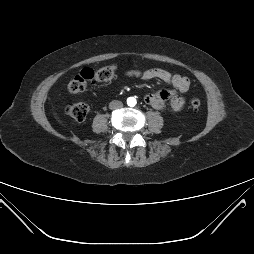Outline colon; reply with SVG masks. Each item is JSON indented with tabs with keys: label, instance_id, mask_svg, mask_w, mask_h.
Instances as JSON below:
<instances>
[{
	"label": "colon",
	"instance_id": "1",
	"mask_svg": "<svg viewBox=\"0 0 254 254\" xmlns=\"http://www.w3.org/2000/svg\"><path fill=\"white\" fill-rule=\"evenodd\" d=\"M116 70L115 65L99 69L85 68L69 82L67 90L70 94H78L83 92L90 83L108 82L115 76ZM191 106L198 109L201 106V100L199 98L191 99ZM65 112L71 119L82 122L89 112V106L84 102L69 103L65 107Z\"/></svg>",
	"mask_w": 254,
	"mask_h": 254
}]
</instances>
